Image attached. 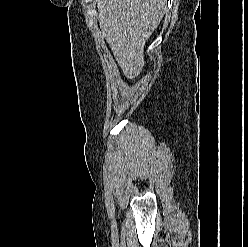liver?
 <instances>
[{"label": "liver", "instance_id": "6515ba94", "mask_svg": "<svg viewBox=\"0 0 248 247\" xmlns=\"http://www.w3.org/2000/svg\"><path fill=\"white\" fill-rule=\"evenodd\" d=\"M99 26L128 79L144 66V46L164 16L166 0H96Z\"/></svg>", "mask_w": 248, "mask_h": 247}]
</instances>
